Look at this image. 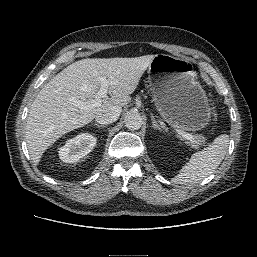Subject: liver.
I'll list each match as a JSON object with an SVG mask.
<instances>
[{"instance_id":"obj_1","label":"liver","mask_w":257,"mask_h":257,"mask_svg":"<svg viewBox=\"0 0 257 257\" xmlns=\"http://www.w3.org/2000/svg\"><path fill=\"white\" fill-rule=\"evenodd\" d=\"M154 57L82 59L52 78L34 99L27 118L25 138L33 162L38 164L57 139L87 125L99 111L111 106H126ZM100 77L110 82V98L101 99V105L91 109L74 105L73 98L95 99Z\"/></svg>"}]
</instances>
